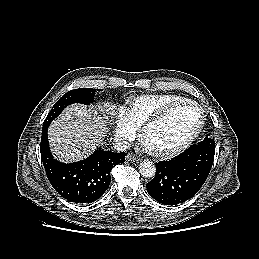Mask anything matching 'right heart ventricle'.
<instances>
[{
	"mask_svg": "<svg viewBox=\"0 0 259 259\" xmlns=\"http://www.w3.org/2000/svg\"><path fill=\"white\" fill-rule=\"evenodd\" d=\"M186 100V98L174 94L142 95L127 100L125 112L136 128L156 115L165 107Z\"/></svg>",
	"mask_w": 259,
	"mask_h": 259,
	"instance_id": "1",
	"label": "right heart ventricle"
}]
</instances>
